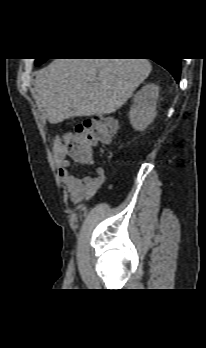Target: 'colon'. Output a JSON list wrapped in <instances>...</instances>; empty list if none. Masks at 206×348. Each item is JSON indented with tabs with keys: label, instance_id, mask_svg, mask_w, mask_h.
I'll list each match as a JSON object with an SVG mask.
<instances>
[{
	"label": "colon",
	"instance_id": "5ec220e1",
	"mask_svg": "<svg viewBox=\"0 0 206 348\" xmlns=\"http://www.w3.org/2000/svg\"><path fill=\"white\" fill-rule=\"evenodd\" d=\"M115 129V122L106 116L85 121L77 125L73 132L59 137L56 152L75 162L88 163L93 159V148L99 144H108Z\"/></svg>",
	"mask_w": 206,
	"mask_h": 348
}]
</instances>
